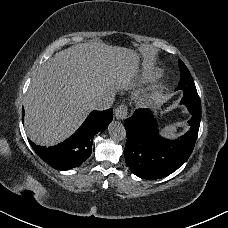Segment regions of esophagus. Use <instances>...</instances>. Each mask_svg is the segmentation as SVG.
Masks as SVG:
<instances>
[{"mask_svg":"<svg viewBox=\"0 0 228 228\" xmlns=\"http://www.w3.org/2000/svg\"><path fill=\"white\" fill-rule=\"evenodd\" d=\"M128 116V107L126 104L119 105L115 110V117L119 120H124Z\"/></svg>","mask_w":228,"mask_h":228,"instance_id":"1","label":"esophagus"}]
</instances>
